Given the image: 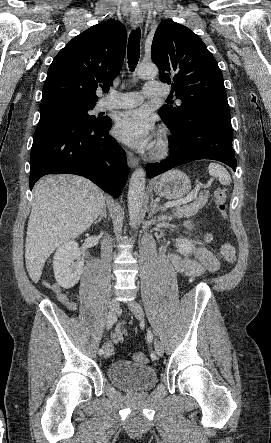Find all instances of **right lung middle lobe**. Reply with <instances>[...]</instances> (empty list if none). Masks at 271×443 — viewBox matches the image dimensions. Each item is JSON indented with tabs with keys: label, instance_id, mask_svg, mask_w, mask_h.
<instances>
[{
	"label": "right lung middle lobe",
	"instance_id": "obj_1",
	"mask_svg": "<svg viewBox=\"0 0 271 443\" xmlns=\"http://www.w3.org/2000/svg\"><path fill=\"white\" fill-rule=\"evenodd\" d=\"M94 106L95 103L74 99H58L41 103L40 121L54 117H67L85 124L96 125L102 122L103 118H95V116L88 113Z\"/></svg>",
	"mask_w": 271,
	"mask_h": 443
}]
</instances>
